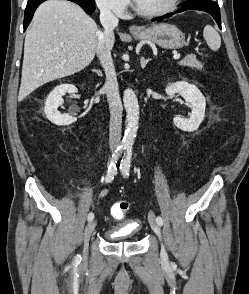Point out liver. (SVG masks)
Here are the masks:
<instances>
[{
    "label": "liver",
    "instance_id": "obj_1",
    "mask_svg": "<svg viewBox=\"0 0 249 294\" xmlns=\"http://www.w3.org/2000/svg\"><path fill=\"white\" fill-rule=\"evenodd\" d=\"M100 33L79 5L65 0L42 3L26 33L18 99L87 67L94 59Z\"/></svg>",
    "mask_w": 249,
    "mask_h": 294
}]
</instances>
